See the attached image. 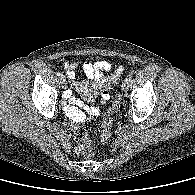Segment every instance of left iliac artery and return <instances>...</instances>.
Segmentation results:
<instances>
[{
  "instance_id": "1",
  "label": "left iliac artery",
  "mask_w": 195,
  "mask_h": 195,
  "mask_svg": "<svg viewBox=\"0 0 195 195\" xmlns=\"http://www.w3.org/2000/svg\"><path fill=\"white\" fill-rule=\"evenodd\" d=\"M129 82H131L132 81V76L130 75L129 77H128V79H127Z\"/></svg>"
}]
</instances>
